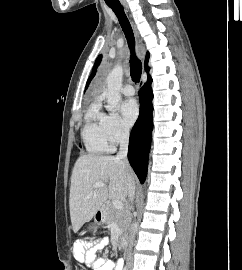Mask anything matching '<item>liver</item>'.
I'll return each mask as SVG.
<instances>
[{"label":"liver","instance_id":"obj_1","mask_svg":"<svg viewBox=\"0 0 242 270\" xmlns=\"http://www.w3.org/2000/svg\"><path fill=\"white\" fill-rule=\"evenodd\" d=\"M96 182L105 187L93 188ZM135 175L122 160L114 156L82 155L73 168L70 186V217L76 233L84 223L102 209L107 199L125 201L129 183Z\"/></svg>","mask_w":242,"mask_h":270}]
</instances>
